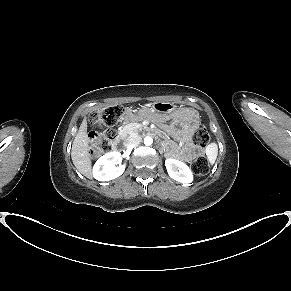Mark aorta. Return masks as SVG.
<instances>
[{
    "label": "aorta",
    "instance_id": "762f6f07",
    "mask_svg": "<svg viewBox=\"0 0 291 291\" xmlns=\"http://www.w3.org/2000/svg\"><path fill=\"white\" fill-rule=\"evenodd\" d=\"M152 143H153V139H152V137H150V136H146V137L144 138V144H145L146 146H150V145H152Z\"/></svg>",
    "mask_w": 291,
    "mask_h": 291
}]
</instances>
